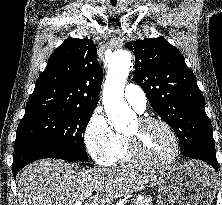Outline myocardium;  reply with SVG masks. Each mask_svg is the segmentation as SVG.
Returning a JSON list of instances; mask_svg holds the SVG:
<instances>
[{"instance_id":"obj_1","label":"myocardium","mask_w":222,"mask_h":205,"mask_svg":"<svg viewBox=\"0 0 222 205\" xmlns=\"http://www.w3.org/2000/svg\"><path fill=\"white\" fill-rule=\"evenodd\" d=\"M138 123L141 126H148L152 124H158L162 126L172 138L173 151L168 158L162 161H154V160L148 159L141 152L138 138L135 136L126 134V138H127L128 146H129V152L132 159L136 163L141 164L146 167H150V168L161 169V168H167L171 166L177 160L180 153L179 138L175 130L173 129V127L165 120L157 118V117H151V116H144V117L139 118Z\"/></svg>"}]
</instances>
